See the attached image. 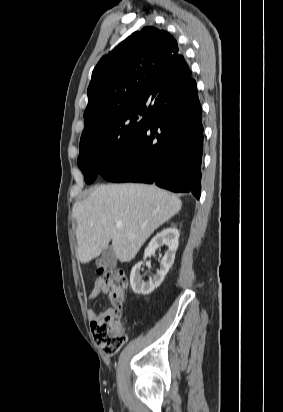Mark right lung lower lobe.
<instances>
[{"instance_id":"right-lung-lower-lobe-1","label":"right lung lower lobe","mask_w":283,"mask_h":412,"mask_svg":"<svg viewBox=\"0 0 283 412\" xmlns=\"http://www.w3.org/2000/svg\"><path fill=\"white\" fill-rule=\"evenodd\" d=\"M202 152L201 105L190 77L160 102L133 146L100 175L111 182L156 183L199 199Z\"/></svg>"}]
</instances>
